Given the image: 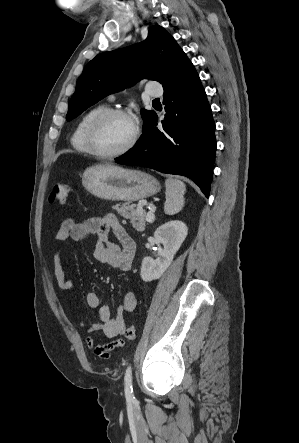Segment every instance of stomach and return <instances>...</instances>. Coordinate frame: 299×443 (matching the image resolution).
Masks as SVG:
<instances>
[{"label":"stomach","instance_id":"1","mask_svg":"<svg viewBox=\"0 0 299 443\" xmlns=\"http://www.w3.org/2000/svg\"><path fill=\"white\" fill-rule=\"evenodd\" d=\"M82 184L91 194L111 201H137L160 190L159 182L153 176L112 164L87 168Z\"/></svg>","mask_w":299,"mask_h":443}]
</instances>
